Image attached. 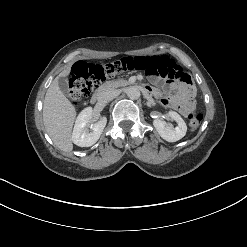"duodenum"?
Wrapping results in <instances>:
<instances>
[{
    "label": "duodenum",
    "instance_id": "obj_1",
    "mask_svg": "<svg viewBox=\"0 0 247 247\" xmlns=\"http://www.w3.org/2000/svg\"><path fill=\"white\" fill-rule=\"evenodd\" d=\"M143 90H144L145 92H147V89H146V88H143ZM103 91H104V90L101 89V88L95 90V91L92 93L91 97H90V102H91V103H100L101 100H102Z\"/></svg>",
    "mask_w": 247,
    "mask_h": 247
}]
</instances>
